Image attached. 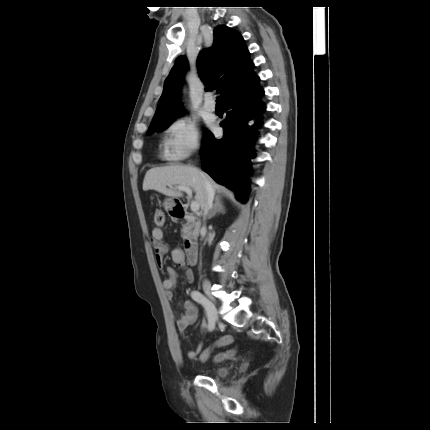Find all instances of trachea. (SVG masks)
Instances as JSON below:
<instances>
[{
  "label": "trachea",
  "instance_id": "trachea-1",
  "mask_svg": "<svg viewBox=\"0 0 430 430\" xmlns=\"http://www.w3.org/2000/svg\"><path fill=\"white\" fill-rule=\"evenodd\" d=\"M217 93H220V90H217Z\"/></svg>",
  "mask_w": 430,
  "mask_h": 430
}]
</instances>
